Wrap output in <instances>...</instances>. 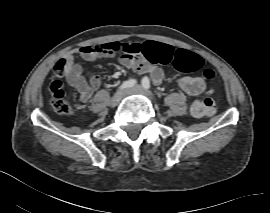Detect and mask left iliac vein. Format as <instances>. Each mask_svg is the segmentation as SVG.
I'll return each instance as SVG.
<instances>
[{
	"label": "left iliac vein",
	"mask_w": 270,
	"mask_h": 213,
	"mask_svg": "<svg viewBox=\"0 0 270 213\" xmlns=\"http://www.w3.org/2000/svg\"><path fill=\"white\" fill-rule=\"evenodd\" d=\"M131 94H143L147 98H149L150 100L153 101L152 95L149 92H147L146 90H144L140 85H136V86L129 88V89H126L124 91V95H131Z\"/></svg>",
	"instance_id": "1"
}]
</instances>
